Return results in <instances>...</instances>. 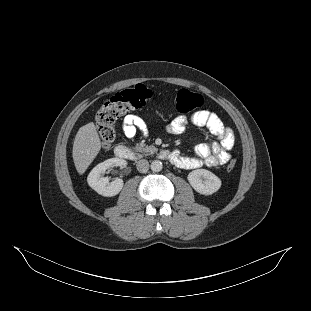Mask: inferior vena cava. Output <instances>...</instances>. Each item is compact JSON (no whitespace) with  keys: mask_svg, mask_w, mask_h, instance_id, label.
I'll list each match as a JSON object with an SVG mask.
<instances>
[{"mask_svg":"<svg viewBox=\"0 0 311 311\" xmlns=\"http://www.w3.org/2000/svg\"><path fill=\"white\" fill-rule=\"evenodd\" d=\"M149 169V162L146 159H141L137 163V170L141 173L147 172Z\"/></svg>","mask_w":311,"mask_h":311,"instance_id":"inferior-vena-cava-1","label":"inferior vena cava"}]
</instances>
